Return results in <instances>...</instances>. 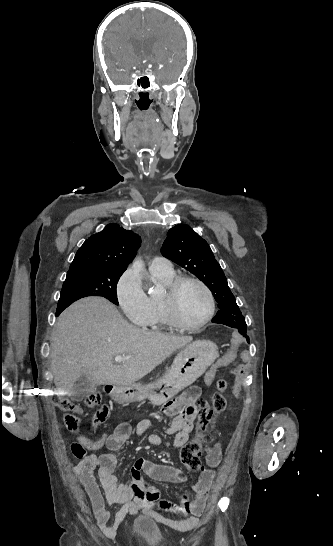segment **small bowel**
<instances>
[{
	"label": "small bowel",
	"instance_id": "1",
	"mask_svg": "<svg viewBox=\"0 0 333 546\" xmlns=\"http://www.w3.org/2000/svg\"><path fill=\"white\" fill-rule=\"evenodd\" d=\"M230 346H226L216 361H212L210 371L206 375L204 386H209V381L214 375L226 372L229 365H233L237 359L248 360V355H238L237 349L243 339L240 332L235 331L231 335ZM199 397V390L191 388L180 397L167 402L164 412L172 416L171 424L166 428L168 434H175L174 440L169 443L160 436L149 434L147 441L155 446H173L180 448L189 440L193 430V421L196 416L194 402ZM183 404V407H180ZM148 420H143L137 425V434L145 435L150 427ZM131 429L128 425H119L111 434L102 435L96 440L86 436H80L70 446L72 454L79 459L74 467V473L86 490L93 509L94 517L100 531L108 538H113L120 524L127 515H135L139 511L146 512L160 523L179 532H187L199 526V515L204 511L209 498L210 488L214 479L211 469L203 470L198 479L192 484L195 498L188 505H177L167 501L158 500V493L149 488L141 478L144 473L150 479L158 481L183 482L184 474L171 466L161 465L143 458L138 459L132 469V477L129 482L121 481L115 471L118 460L111 451L118 450L129 438ZM105 446L108 451L98 455L90 454V451L101 449ZM222 447L216 442L207 454V465L210 468L217 466L221 460ZM97 470L98 482L95 477ZM104 491V494L102 493ZM109 505H120L112 523H109L110 513L106 508ZM167 513H176L180 520H174Z\"/></svg>",
	"mask_w": 333,
	"mask_h": 546
}]
</instances>
